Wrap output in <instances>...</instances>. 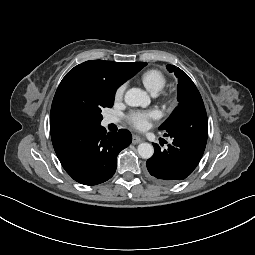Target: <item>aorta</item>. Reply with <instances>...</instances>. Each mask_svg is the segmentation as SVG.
I'll return each mask as SVG.
<instances>
[{"mask_svg": "<svg viewBox=\"0 0 255 255\" xmlns=\"http://www.w3.org/2000/svg\"><path fill=\"white\" fill-rule=\"evenodd\" d=\"M125 103L132 107H147L150 104V97L147 93L139 88L129 89L124 97ZM138 154L143 159H149L153 156L154 148L149 143H141L138 145Z\"/></svg>", "mask_w": 255, "mask_h": 255, "instance_id": "aorta-1", "label": "aorta"}]
</instances>
